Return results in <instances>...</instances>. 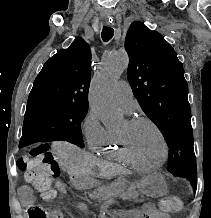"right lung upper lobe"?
Listing matches in <instances>:
<instances>
[{
	"label": "right lung upper lobe",
	"instance_id": "right-lung-upper-lobe-1",
	"mask_svg": "<svg viewBox=\"0 0 211 218\" xmlns=\"http://www.w3.org/2000/svg\"><path fill=\"white\" fill-rule=\"evenodd\" d=\"M91 49L77 37L66 50L58 51L34 81L28 104L58 102L88 105Z\"/></svg>",
	"mask_w": 211,
	"mask_h": 218
}]
</instances>
